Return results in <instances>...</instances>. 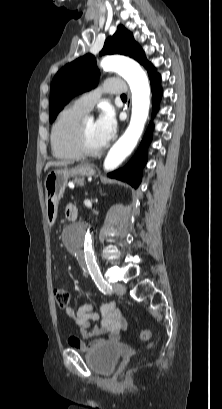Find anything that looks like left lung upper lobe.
Instances as JSON below:
<instances>
[{"instance_id": "left-lung-upper-lobe-1", "label": "left lung upper lobe", "mask_w": 222, "mask_h": 409, "mask_svg": "<svg viewBox=\"0 0 222 409\" xmlns=\"http://www.w3.org/2000/svg\"><path fill=\"white\" fill-rule=\"evenodd\" d=\"M123 54L137 60L148 71L156 74L155 67L148 62L142 48L124 26H118L116 33L109 37L99 55ZM99 71L95 57L86 54L62 67L53 78L50 88V122L63 109L64 105L77 94L94 88L98 83Z\"/></svg>"}]
</instances>
